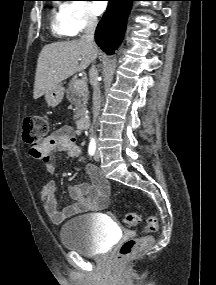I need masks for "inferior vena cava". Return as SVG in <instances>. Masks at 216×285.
<instances>
[{
  "label": "inferior vena cava",
  "mask_w": 216,
  "mask_h": 285,
  "mask_svg": "<svg viewBox=\"0 0 216 285\" xmlns=\"http://www.w3.org/2000/svg\"><path fill=\"white\" fill-rule=\"evenodd\" d=\"M97 26V18L93 15H89L86 22L84 34L81 36V41L86 42L92 49L95 48L94 33ZM97 57L96 51L93 52L91 62L94 63ZM90 83L93 87V123L96 124V120L99 116L101 107V92L98 82V71L95 65H92L90 72Z\"/></svg>",
  "instance_id": "obj_1"
}]
</instances>
